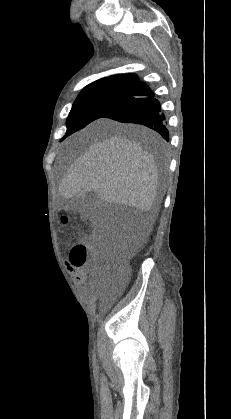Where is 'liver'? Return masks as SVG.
<instances>
[{
	"label": "liver",
	"mask_w": 231,
	"mask_h": 419,
	"mask_svg": "<svg viewBox=\"0 0 231 419\" xmlns=\"http://www.w3.org/2000/svg\"><path fill=\"white\" fill-rule=\"evenodd\" d=\"M102 124L112 130L130 129L153 136L136 126L110 121ZM157 185L158 169L153 156L138 142L114 134L103 141L96 140L85 150L67 170L58 191L64 198L81 197L92 191L105 202L139 209L146 215V224L139 233L141 240L137 242L140 244L157 215Z\"/></svg>",
	"instance_id": "obj_1"
}]
</instances>
